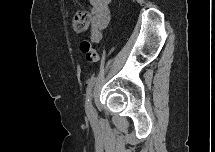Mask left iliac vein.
Instances as JSON below:
<instances>
[{"label": "left iliac vein", "mask_w": 215, "mask_h": 152, "mask_svg": "<svg viewBox=\"0 0 215 152\" xmlns=\"http://www.w3.org/2000/svg\"><path fill=\"white\" fill-rule=\"evenodd\" d=\"M87 114L92 119H95L97 116L96 111H95L93 104H92V97L91 96L89 97V101H88Z\"/></svg>", "instance_id": "left-iliac-vein-1"}]
</instances>
